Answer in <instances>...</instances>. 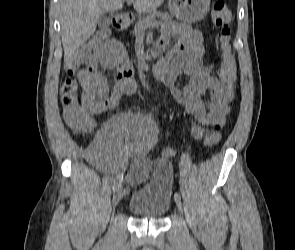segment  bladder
<instances>
[{
  "mask_svg": "<svg viewBox=\"0 0 295 250\" xmlns=\"http://www.w3.org/2000/svg\"><path fill=\"white\" fill-rule=\"evenodd\" d=\"M151 169V178L132 190L127 207L137 218L158 220L171 208L172 180L167 160L158 161Z\"/></svg>",
  "mask_w": 295,
  "mask_h": 250,
  "instance_id": "1",
  "label": "bladder"
}]
</instances>
